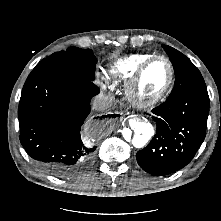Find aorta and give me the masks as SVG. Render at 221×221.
<instances>
[{"label":"aorta","mask_w":221,"mask_h":221,"mask_svg":"<svg viewBox=\"0 0 221 221\" xmlns=\"http://www.w3.org/2000/svg\"><path fill=\"white\" fill-rule=\"evenodd\" d=\"M152 134V127L146 120L136 117L129 121V127L122 131L123 140L136 148L146 145Z\"/></svg>","instance_id":"1"}]
</instances>
